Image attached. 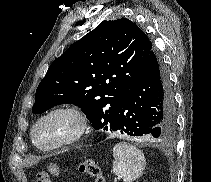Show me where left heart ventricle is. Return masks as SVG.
I'll list each match as a JSON object with an SVG mask.
<instances>
[{
	"label": "left heart ventricle",
	"mask_w": 211,
	"mask_h": 182,
	"mask_svg": "<svg viewBox=\"0 0 211 182\" xmlns=\"http://www.w3.org/2000/svg\"><path fill=\"white\" fill-rule=\"evenodd\" d=\"M77 126V122L71 115L56 114L44 120L35 132L36 140L42 145L56 143L70 133Z\"/></svg>",
	"instance_id": "b2bd125f"
}]
</instances>
